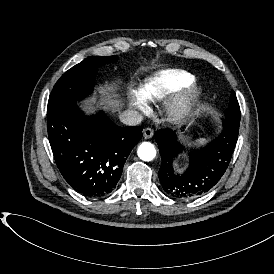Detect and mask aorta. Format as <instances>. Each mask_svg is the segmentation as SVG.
<instances>
[{
    "mask_svg": "<svg viewBox=\"0 0 274 274\" xmlns=\"http://www.w3.org/2000/svg\"><path fill=\"white\" fill-rule=\"evenodd\" d=\"M138 157L143 161H151L156 156V149L150 142H143L137 150Z\"/></svg>",
    "mask_w": 274,
    "mask_h": 274,
    "instance_id": "aorta-1",
    "label": "aorta"
}]
</instances>
